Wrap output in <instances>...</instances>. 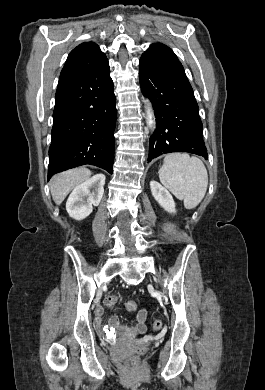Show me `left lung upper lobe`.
<instances>
[{
	"label": "left lung upper lobe",
	"instance_id": "1",
	"mask_svg": "<svg viewBox=\"0 0 265 390\" xmlns=\"http://www.w3.org/2000/svg\"><path fill=\"white\" fill-rule=\"evenodd\" d=\"M144 54L162 56L178 60L175 53L168 46L162 43H153Z\"/></svg>",
	"mask_w": 265,
	"mask_h": 390
}]
</instances>
